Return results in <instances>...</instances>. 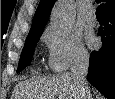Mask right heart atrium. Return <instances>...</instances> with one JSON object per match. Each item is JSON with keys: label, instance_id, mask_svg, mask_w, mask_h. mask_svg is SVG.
<instances>
[{"label": "right heart atrium", "instance_id": "right-heart-atrium-1", "mask_svg": "<svg viewBox=\"0 0 115 99\" xmlns=\"http://www.w3.org/2000/svg\"><path fill=\"white\" fill-rule=\"evenodd\" d=\"M41 39L46 46L48 66L52 71H65L72 65L85 62L88 58L87 50L79 35L75 33L47 27Z\"/></svg>", "mask_w": 115, "mask_h": 99}]
</instances>
